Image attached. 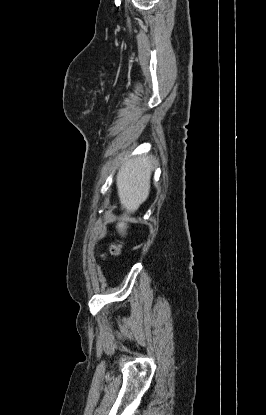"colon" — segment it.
<instances>
[{
	"mask_svg": "<svg viewBox=\"0 0 266 415\" xmlns=\"http://www.w3.org/2000/svg\"><path fill=\"white\" fill-rule=\"evenodd\" d=\"M121 251V247L119 245H111L109 247V253L112 255H118Z\"/></svg>",
	"mask_w": 266,
	"mask_h": 415,
	"instance_id": "1",
	"label": "colon"
}]
</instances>
